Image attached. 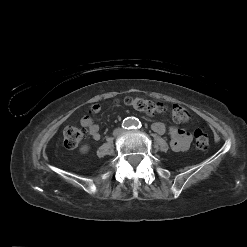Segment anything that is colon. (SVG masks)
Segmentation results:
<instances>
[{
  "instance_id": "obj_1",
  "label": "colon",
  "mask_w": 247,
  "mask_h": 247,
  "mask_svg": "<svg viewBox=\"0 0 247 247\" xmlns=\"http://www.w3.org/2000/svg\"><path fill=\"white\" fill-rule=\"evenodd\" d=\"M124 103L147 115L154 116L169 112L172 118L177 122H188L191 118L189 111L181 105H173L167 108L162 103L154 102L140 97H127ZM64 145L68 149L76 148L83 139V132L74 126H67L63 130ZM195 146L200 150L207 149L209 138L206 132L201 129L194 131Z\"/></svg>"
}]
</instances>
